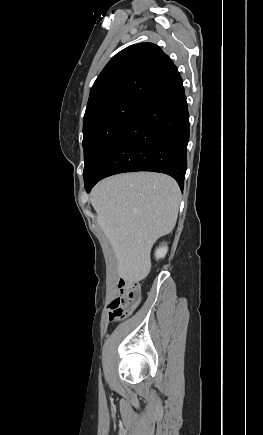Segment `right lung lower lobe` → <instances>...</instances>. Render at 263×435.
<instances>
[{"mask_svg": "<svg viewBox=\"0 0 263 435\" xmlns=\"http://www.w3.org/2000/svg\"><path fill=\"white\" fill-rule=\"evenodd\" d=\"M189 114L180 74L150 97L131 119L94 175L86 191L101 179L123 172L153 171L184 186Z\"/></svg>", "mask_w": 263, "mask_h": 435, "instance_id": "98d812e1", "label": "right lung lower lobe"}]
</instances>
